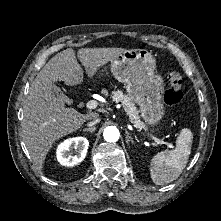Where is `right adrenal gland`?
I'll list each match as a JSON object with an SVG mask.
<instances>
[{
    "label": "right adrenal gland",
    "mask_w": 221,
    "mask_h": 221,
    "mask_svg": "<svg viewBox=\"0 0 221 221\" xmlns=\"http://www.w3.org/2000/svg\"><path fill=\"white\" fill-rule=\"evenodd\" d=\"M96 130V127H91V128H84L83 131H87V132H94Z\"/></svg>",
    "instance_id": "2a0ac1e0"
}]
</instances>
